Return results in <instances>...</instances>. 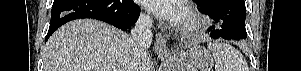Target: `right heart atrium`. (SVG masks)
I'll use <instances>...</instances> for the list:
<instances>
[{"label": "right heart atrium", "mask_w": 301, "mask_h": 71, "mask_svg": "<svg viewBox=\"0 0 301 71\" xmlns=\"http://www.w3.org/2000/svg\"><path fill=\"white\" fill-rule=\"evenodd\" d=\"M144 20H145V22H148V21H149L147 17H145Z\"/></svg>", "instance_id": "d8ad5b80"}]
</instances>
